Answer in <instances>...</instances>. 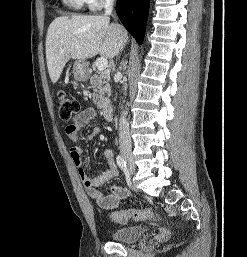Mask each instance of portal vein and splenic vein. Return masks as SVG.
Returning a JSON list of instances; mask_svg holds the SVG:
<instances>
[{
	"instance_id": "18ae733b",
	"label": "portal vein and splenic vein",
	"mask_w": 247,
	"mask_h": 257,
	"mask_svg": "<svg viewBox=\"0 0 247 257\" xmlns=\"http://www.w3.org/2000/svg\"><path fill=\"white\" fill-rule=\"evenodd\" d=\"M95 64L99 71H104L108 67V61L106 58L97 59Z\"/></svg>"
}]
</instances>
